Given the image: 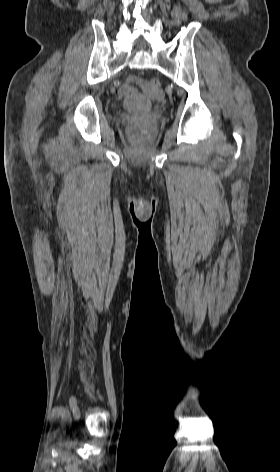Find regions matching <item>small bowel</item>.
<instances>
[{
	"label": "small bowel",
	"mask_w": 280,
	"mask_h": 472,
	"mask_svg": "<svg viewBox=\"0 0 280 472\" xmlns=\"http://www.w3.org/2000/svg\"><path fill=\"white\" fill-rule=\"evenodd\" d=\"M134 85H138L140 87H143V88H146L147 87V83L136 77V76H129L128 79L126 80L125 84L123 85L122 87V92L123 93H132L134 92Z\"/></svg>",
	"instance_id": "c3829d8e"
}]
</instances>
